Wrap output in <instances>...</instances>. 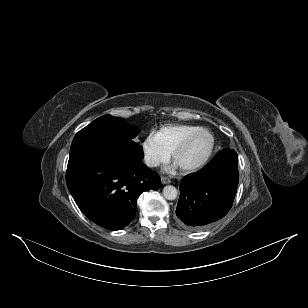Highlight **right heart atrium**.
<instances>
[{
    "label": "right heart atrium",
    "mask_w": 308,
    "mask_h": 308,
    "mask_svg": "<svg viewBox=\"0 0 308 308\" xmlns=\"http://www.w3.org/2000/svg\"><path fill=\"white\" fill-rule=\"evenodd\" d=\"M141 152L145 164L156 168L166 163L170 153L157 141L154 135H148L141 143Z\"/></svg>",
    "instance_id": "right-heart-atrium-1"
}]
</instances>
